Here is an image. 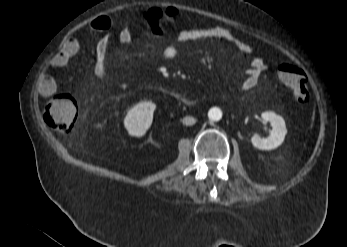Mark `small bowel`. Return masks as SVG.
<instances>
[{
    "mask_svg": "<svg viewBox=\"0 0 347 247\" xmlns=\"http://www.w3.org/2000/svg\"><path fill=\"white\" fill-rule=\"evenodd\" d=\"M112 20L107 16L97 17L93 19L89 27L94 31H105L110 29ZM131 30L124 28L119 36L121 45H129L131 43ZM205 40H221L231 44L238 54L247 58L250 68L246 72L245 79L240 84L242 91L251 90L258 83L259 74L267 68L265 60L261 57L253 55L252 48L248 42L242 39L233 30L222 26H198L180 31L177 34L176 42L167 45L162 51V57L166 61L174 60L179 53V44L193 41ZM108 43L100 40L95 45V62L94 74L98 78L106 76L105 56L107 53ZM80 51V43L75 37H70L63 44L61 49L52 57L49 67L59 69L68 64V62ZM37 88L44 96H51L56 92L57 84L55 79L48 72L42 73L37 78Z\"/></svg>",
    "mask_w": 347,
    "mask_h": 247,
    "instance_id": "small-bowel-1",
    "label": "small bowel"
}]
</instances>
